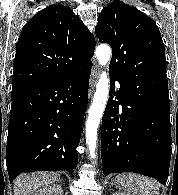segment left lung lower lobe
Returning a JSON list of instances; mask_svg holds the SVG:
<instances>
[{
	"label": "left lung lower lobe",
	"instance_id": "0a47b994",
	"mask_svg": "<svg viewBox=\"0 0 178 195\" xmlns=\"http://www.w3.org/2000/svg\"><path fill=\"white\" fill-rule=\"evenodd\" d=\"M120 85L118 101L110 96L102 118L103 173L135 172L165 185L171 159L170 102ZM110 88L114 90V82Z\"/></svg>",
	"mask_w": 178,
	"mask_h": 195
}]
</instances>
